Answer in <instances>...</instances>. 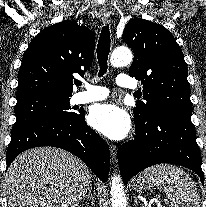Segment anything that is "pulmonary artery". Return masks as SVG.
<instances>
[{
	"label": "pulmonary artery",
	"mask_w": 206,
	"mask_h": 207,
	"mask_svg": "<svg viewBox=\"0 0 206 207\" xmlns=\"http://www.w3.org/2000/svg\"><path fill=\"white\" fill-rule=\"evenodd\" d=\"M130 77L126 74H119L116 78V83L122 87L133 88L134 85L130 82ZM84 91L77 92L73 95L72 101L75 104H84L103 100L108 97L109 89L104 86L92 85L85 82L83 84Z\"/></svg>",
	"instance_id": "obj_1"
}]
</instances>
